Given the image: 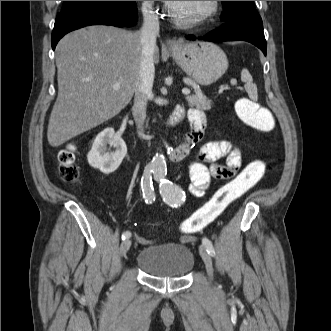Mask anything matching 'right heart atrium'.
Listing matches in <instances>:
<instances>
[{
  "label": "right heart atrium",
  "mask_w": 331,
  "mask_h": 331,
  "mask_svg": "<svg viewBox=\"0 0 331 331\" xmlns=\"http://www.w3.org/2000/svg\"><path fill=\"white\" fill-rule=\"evenodd\" d=\"M154 1H142L141 9L144 16H156L157 10L154 9Z\"/></svg>",
  "instance_id": "right-heart-atrium-1"
}]
</instances>
